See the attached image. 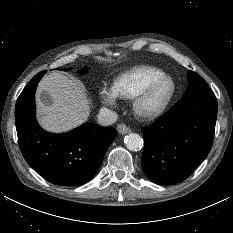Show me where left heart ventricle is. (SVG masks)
<instances>
[{"instance_id": "1", "label": "left heart ventricle", "mask_w": 233, "mask_h": 233, "mask_svg": "<svg viewBox=\"0 0 233 233\" xmlns=\"http://www.w3.org/2000/svg\"><path fill=\"white\" fill-rule=\"evenodd\" d=\"M166 90H167V86H162L160 89H158L156 93L152 96V98L149 100L148 105L149 106L156 105L159 102V100L162 98Z\"/></svg>"}]
</instances>
